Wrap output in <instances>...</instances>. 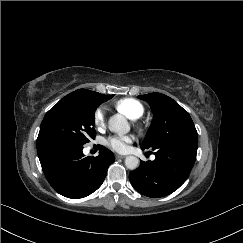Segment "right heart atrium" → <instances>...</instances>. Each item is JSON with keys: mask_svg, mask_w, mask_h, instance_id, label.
Segmentation results:
<instances>
[{"mask_svg": "<svg viewBox=\"0 0 243 243\" xmlns=\"http://www.w3.org/2000/svg\"><path fill=\"white\" fill-rule=\"evenodd\" d=\"M93 123L97 129H102L105 126V112L102 107L94 110Z\"/></svg>", "mask_w": 243, "mask_h": 243, "instance_id": "d8ad5b80", "label": "right heart atrium"}]
</instances>
